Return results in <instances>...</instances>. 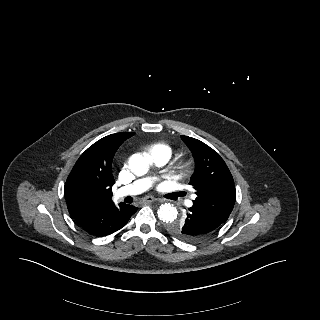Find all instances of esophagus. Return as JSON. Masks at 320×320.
I'll list each match as a JSON object with an SVG mask.
<instances>
[{
  "instance_id": "1",
  "label": "esophagus",
  "mask_w": 320,
  "mask_h": 320,
  "mask_svg": "<svg viewBox=\"0 0 320 320\" xmlns=\"http://www.w3.org/2000/svg\"><path fill=\"white\" fill-rule=\"evenodd\" d=\"M158 199L154 198V197H146L142 200L143 203H153L156 202Z\"/></svg>"
}]
</instances>
